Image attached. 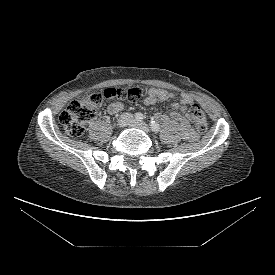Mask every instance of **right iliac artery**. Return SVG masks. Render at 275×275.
Returning a JSON list of instances; mask_svg holds the SVG:
<instances>
[{
	"label": "right iliac artery",
	"instance_id": "1",
	"mask_svg": "<svg viewBox=\"0 0 275 275\" xmlns=\"http://www.w3.org/2000/svg\"><path fill=\"white\" fill-rule=\"evenodd\" d=\"M135 120H136V121H142V120H143V114H141V113H136V114H135Z\"/></svg>",
	"mask_w": 275,
	"mask_h": 275
}]
</instances>
